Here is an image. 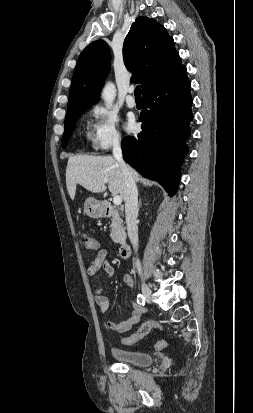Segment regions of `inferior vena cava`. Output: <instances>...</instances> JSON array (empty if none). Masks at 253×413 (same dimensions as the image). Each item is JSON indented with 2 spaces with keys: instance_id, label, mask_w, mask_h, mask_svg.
Wrapping results in <instances>:
<instances>
[{
  "instance_id": "602c4592",
  "label": "inferior vena cava",
  "mask_w": 253,
  "mask_h": 413,
  "mask_svg": "<svg viewBox=\"0 0 253 413\" xmlns=\"http://www.w3.org/2000/svg\"><path fill=\"white\" fill-rule=\"evenodd\" d=\"M113 156L122 169L125 181V214L128 237L133 245L135 252L138 250V227L136 219L138 216V191L135 180L132 176L130 167L124 162L120 141L116 139L113 144ZM136 268L141 273V264L139 259L135 262Z\"/></svg>"
}]
</instances>
